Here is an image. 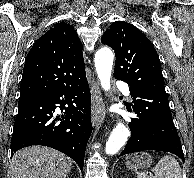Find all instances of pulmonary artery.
I'll use <instances>...</instances> for the list:
<instances>
[{"instance_id": "e3ab8cb5", "label": "pulmonary artery", "mask_w": 194, "mask_h": 178, "mask_svg": "<svg viewBox=\"0 0 194 178\" xmlns=\"http://www.w3.org/2000/svg\"><path fill=\"white\" fill-rule=\"evenodd\" d=\"M117 87H119L122 92L127 96V97H130V90H129V87L127 85H125L124 83L122 82H117L116 83Z\"/></svg>"}]
</instances>
